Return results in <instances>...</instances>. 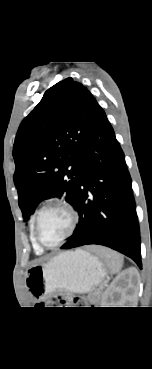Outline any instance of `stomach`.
Here are the masks:
<instances>
[{
    "label": "stomach",
    "instance_id": "stomach-1",
    "mask_svg": "<svg viewBox=\"0 0 152 369\" xmlns=\"http://www.w3.org/2000/svg\"><path fill=\"white\" fill-rule=\"evenodd\" d=\"M107 275L103 263L82 250L60 253L44 264L26 271V286L36 300L55 291L87 293Z\"/></svg>",
    "mask_w": 152,
    "mask_h": 369
}]
</instances>
